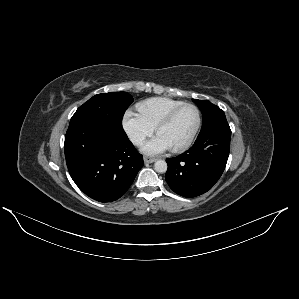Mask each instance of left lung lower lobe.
Listing matches in <instances>:
<instances>
[{"mask_svg":"<svg viewBox=\"0 0 299 299\" xmlns=\"http://www.w3.org/2000/svg\"><path fill=\"white\" fill-rule=\"evenodd\" d=\"M228 124L200 133L194 145L175 158H168L165 179L178 195L196 197L208 190L222 175L230 150Z\"/></svg>","mask_w":299,"mask_h":299,"instance_id":"0a47b994","label":"left lung lower lobe"}]
</instances>
